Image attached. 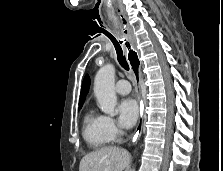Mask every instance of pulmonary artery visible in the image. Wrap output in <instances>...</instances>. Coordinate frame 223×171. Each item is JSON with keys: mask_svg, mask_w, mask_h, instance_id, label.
Masks as SVG:
<instances>
[{"mask_svg": "<svg viewBox=\"0 0 223 171\" xmlns=\"http://www.w3.org/2000/svg\"><path fill=\"white\" fill-rule=\"evenodd\" d=\"M115 90L120 95H127L131 91V86L127 80L120 79L116 83Z\"/></svg>", "mask_w": 223, "mask_h": 171, "instance_id": "obj_1", "label": "pulmonary artery"}]
</instances>
